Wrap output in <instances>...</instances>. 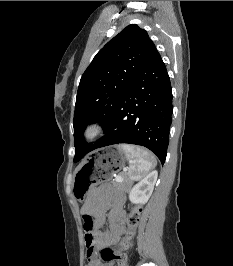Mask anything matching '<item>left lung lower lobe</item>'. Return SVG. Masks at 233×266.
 <instances>
[{
    "instance_id": "left-lung-lower-lobe-1",
    "label": "left lung lower lobe",
    "mask_w": 233,
    "mask_h": 266,
    "mask_svg": "<svg viewBox=\"0 0 233 266\" xmlns=\"http://www.w3.org/2000/svg\"><path fill=\"white\" fill-rule=\"evenodd\" d=\"M170 78L157 50L122 96L109 121L105 135L87 152L119 143L142 145L164 164L173 113Z\"/></svg>"
}]
</instances>
